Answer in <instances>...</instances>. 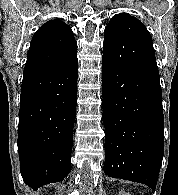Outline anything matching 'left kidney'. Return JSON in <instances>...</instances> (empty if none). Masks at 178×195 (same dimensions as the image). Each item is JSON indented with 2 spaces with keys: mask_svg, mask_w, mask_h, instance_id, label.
Wrapping results in <instances>:
<instances>
[{
  "mask_svg": "<svg viewBox=\"0 0 178 195\" xmlns=\"http://www.w3.org/2000/svg\"><path fill=\"white\" fill-rule=\"evenodd\" d=\"M118 195H130V194H128V193H119Z\"/></svg>",
  "mask_w": 178,
  "mask_h": 195,
  "instance_id": "left-kidney-1",
  "label": "left kidney"
}]
</instances>
